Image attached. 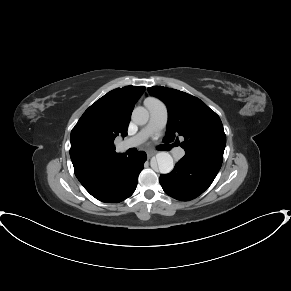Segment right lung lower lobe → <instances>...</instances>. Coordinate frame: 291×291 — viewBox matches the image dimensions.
I'll return each mask as SVG.
<instances>
[{
	"label": "right lung lower lobe",
	"mask_w": 291,
	"mask_h": 291,
	"mask_svg": "<svg viewBox=\"0 0 291 291\" xmlns=\"http://www.w3.org/2000/svg\"><path fill=\"white\" fill-rule=\"evenodd\" d=\"M147 159L145 152L122 154L111 160L74 168L84 188L102 202H121L136 189L138 175Z\"/></svg>",
	"instance_id": "1"
}]
</instances>
